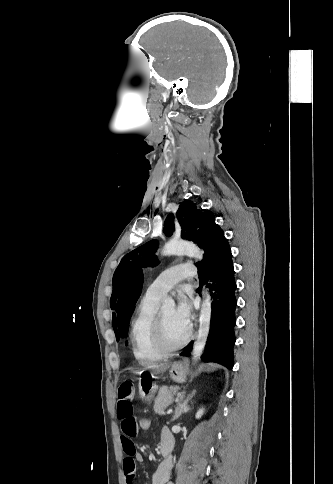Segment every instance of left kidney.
Returning <instances> with one entry per match:
<instances>
[{"label": "left kidney", "mask_w": 333, "mask_h": 484, "mask_svg": "<svg viewBox=\"0 0 333 484\" xmlns=\"http://www.w3.org/2000/svg\"><path fill=\"white\" fill-rule=\"evenodd\" d=\"M204 414V409H199V411L196 413V418L199 419L202 417V415Z\"/></svg>", "instance_id": "1"}]
</instances>
